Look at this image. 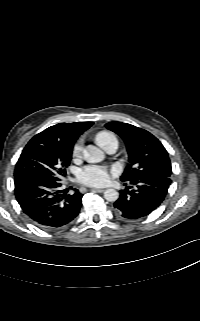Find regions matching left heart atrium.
Listing matches in <instances>:
<instances>
[{
	"instance_id": "obj_1",
	"label": "left heart atrium",
	"mask_w": 200,
	"mask_h": 321,
	"mask_svg": "<svg viewBox=\"0 0 200 321\" xmlns=\"http://www.w3.org/2000/svg\"><path fill=\"white\" fill-rule=\"evenodd\" d=\"M109 171L104 167L90 166L80 172L82 182L91 185H101L106 182Z\"/></svg>"
}]
</instances>
